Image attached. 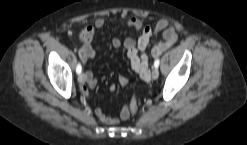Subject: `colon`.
I'll use <instances>...</instances> for the list:
<instances>
[{
  "mask_svg": "<svg viewBox=\"0 0 247 145\" xmlns=\"http://www.w3.org/2000/svg\"><path fill=\"white\" fill-rule=\"evenodd\" d=\"M92 36H93V30L91 27H85L84 29H82L80 33V38L86 42L90 41L92 39ZM138 109H139L138 100L136 96H133L131 98L129 107L125 111V117L128 118L130 115H136Z\"/></svg>",
  "mask_w": 247,
  "mask_h": 145,
  "instance_id": "5ec220e1",
  "label": "colon"
}]
</instances>
